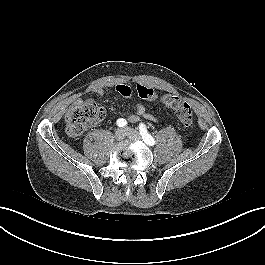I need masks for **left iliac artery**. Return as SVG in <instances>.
<instances>
[{
  "mask_svg": "<svg viewBox=\"0 0 265 265\" xmlns=\"http://www.w3.org/2000/svg\"><path fill=\"white\" fill-rule=\"evenodd\" d=\"M139 131H140V134L142 136L143 141L147 145H150V146L155 145L156 142H155L154 138L147 132L146 125H144L143 123H141L139 125Z\"/></svg>",
  "mask_w": 265,
  "mask_h": 265,
  "instance_id": "1",
  "label": "left iliac artery"
}]
</instances>
